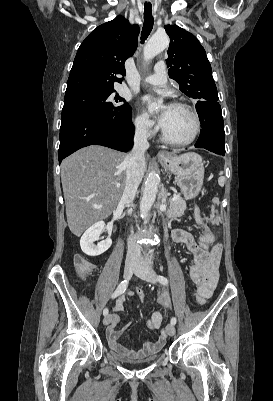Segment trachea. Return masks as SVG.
<instances>
[{
	"instance_id": "3493384b",
	"label": "trachea",
	"mask_w": 273,
	"mask_h": 401,
	"mask_svg": "<svg viewBox=\"0 0 273 401\" xmlns=\"http://www.w3.org/2000/svg\"><path fill=\"white\" fill-rule=\"evenodd\" d=\"M154 20L152 16V5H145L144 9V24L141 34V42L143 43L153 28Z\"/></svg>"
}]
</instances>
